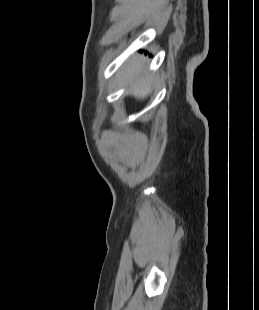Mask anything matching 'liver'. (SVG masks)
<instances>
[{
  "instance_id": "6515ba94",
  "label": "liver",
  "mask_w": 259,
  "mask_h": 310,
  "mask_svg": "<svg viewBox=\"0 0 259 310\" xmlns=\"http://www.w3.org/2000/svg\"><path fill=\"white\" fill-rule=\"evenodd\" d=\"M145 65L141 63L138 57L131 58L122 71L125 82L131 83L130 95L137 99H145L150 91L153 78L144 75Z\"/></svg>"
}]
</instances>
